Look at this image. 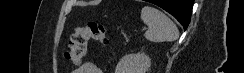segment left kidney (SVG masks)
Returning <instances> with one entry per match:
<instances>
[{
  "mask_svg": "<svg viewBox=\"0 0 244 73\" xmlns=\"http://www.w3.org/2000/svg\"><path fill=\"white\" fill-rule=\"evenodd\" d=\"M151 59L144 53L127 54L118 62L115 73H146Z\"/></svg>",
  "mask_w": 244,
  "mask_h": 73,
  "instance_id": "1",
  "label": "left kidney"
}]
</instances>
